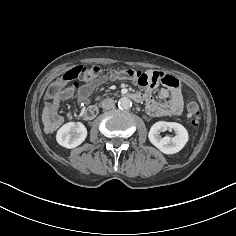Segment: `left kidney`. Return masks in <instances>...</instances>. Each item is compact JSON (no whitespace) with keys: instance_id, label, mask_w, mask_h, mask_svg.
Listing matches in <instances>:
<instances>
[{"instance_id":"obj_1","label":"left kidney","mask_w":236,"mask_h":236,"mask_svg":"<svg viewBox=\"0 0 236 236\" xmlns=\"http://www.w3.org/2000/svg\"><path fill=\"white\" fill-rule=\"evenodd\" d=\"M173 129L175 131L174 137H161L160 131ZM150 142L157 147L164 154H175L183 149L188 142V131L186 128L176 122L160 121L155 123L148 134Z\"/></svg>"}]
</instances>
